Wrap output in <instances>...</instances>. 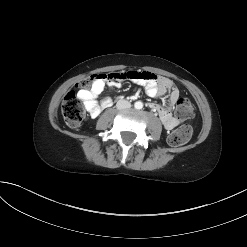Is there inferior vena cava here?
<instances>
[{"label":"inferior vena cava","instance_id":"inferior-vena-cava-1","mask_svg":"<svg viewBox=\"0 0 247 247\" xmlns=\"http://www.w3.org/2000/svg\"><path fill=\"white\" fill-rule=\"evenodd\" d=\"M117 109L122 110V109H127L131 107V104L127 100H119L116 104Z\"/></svg>","mask_w":247,"mask_h":247}]
</instances>
